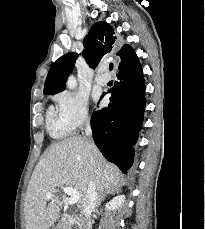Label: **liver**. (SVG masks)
<instances>
[{"instance_id":"1","label":"liver","mask_w":205,"mask_h":229,"mask_svg":"<svg viewBox=\"0 0 205 229\" xmlns=\"http://www.w3.org/2000/svg\"><path fill=\"white\" fill-rule=\"evenodd\" d=\"M91 179L100 193L117 186L122 175L89 139L74 136L52 144L36 165L27 187L24 204L26 229H50L62 206L57 189L61 186L79 192L78 205L81 208ZM48 192L53 193L49 203Z\"/></svg>"}]
</instances>
